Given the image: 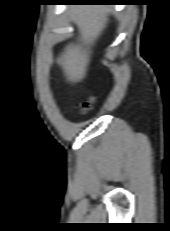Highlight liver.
Instances as JSON below:
<instances>
[{
  "label": "liver",
  "instance_id": "6515ba94",
  "mask_svg": "<svg viewBox=\"0 0 170 231\" xmlns=\"http://www.w3.org/2000/svg\"><path fill=\"white\" fill-rule=\"evenodd\" d=\"M73 22L78 28V43L69 44L57 59L69 82L81 81L90 62L91 46L105 29L109 8L103 6H76L69 9Z\"/></svg>",
  "mask_w": 170,
  "mask_h": 231
}]
</instances>
